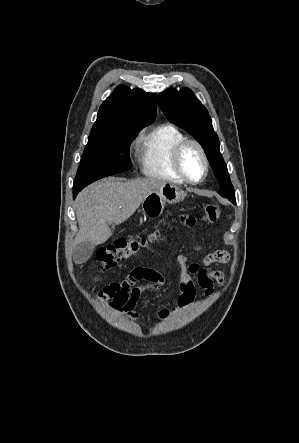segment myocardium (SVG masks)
<instances>
[{
	"mask_svg": "<svg viewBox=\"0 0 299 443\" xmlns=\"http://www.w3.org/2000/svg\"><path fill=\"white\" fill-rule=\"evenodd\" d=\"M189 146H194L203 161V173L202 176L199 179L193 180L191 179L186 171L184 170V167L182 165V156L183 153L185 152V150L189 147ZM173 164H174V168L176 170V172L179 174V176L187 183L190 184H199L201 182H203L205 180V178L207 177L208 173H209V160L207 157V154L205 152L204 147L202 146V144L195 140V139H185L182 142H180L175 150H174V154H173Z\"/></svg>",
	"mask_w": 299,
	"mask_h": 443,
	"instance_id": "myocardium-1",
	"label": "myocardium"
}]
</instances>
